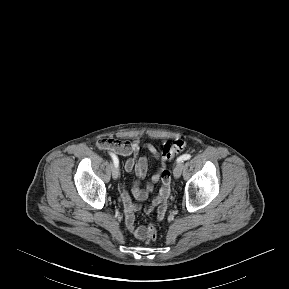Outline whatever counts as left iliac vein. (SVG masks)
<instances>
[{
	"instance_id": "4c4485c4",
	"label": "left iliac vein",
	"mask_w": 289,
	"mask_h": 289,
	"mask_svg": "<svg viewBox=\"0 0 289 289\" xmlns=\"http://www.w3.org/2000/svg\"><path fill=\"white\" fill-rule=\"evenodd\" d=\"M182 170H183V163H178L173 171L174 177L176 179H178L181 176Z\"/></svg>"
}]
</instances>
